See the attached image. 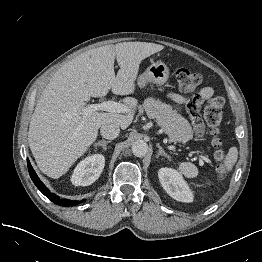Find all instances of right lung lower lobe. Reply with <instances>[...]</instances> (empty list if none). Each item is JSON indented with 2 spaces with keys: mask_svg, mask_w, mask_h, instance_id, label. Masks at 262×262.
Instances as JSON below:
<instances>
[{
  "mask_svg": "<svg viewBox=\"0 0 262 262\" xmlns=\"http://www.w3.org/2000/svg\"><path fill=\"white\" fill-rule=\"evenodd\" d=\"M27 165H28V170H29V174L31 179L33 180L34 184L37 186V188L48 198L50 199L52 202H54L55 204L61 205V206H73V205H77L81 202H84V200L82 201H75V200H67V199H60L59 197H57L55 194L50 193L49 189L47 187H45V185L40 181V179L38 178V176L36 175L35 171L33 170L29 160H27Z\"/></svg>",
  "mask_w": 262,
  "mask_h": 262,
  "instance_id": "98d812e1",
  "label": "right lung lower lobe"
}]
</instances>
